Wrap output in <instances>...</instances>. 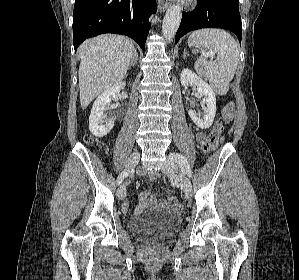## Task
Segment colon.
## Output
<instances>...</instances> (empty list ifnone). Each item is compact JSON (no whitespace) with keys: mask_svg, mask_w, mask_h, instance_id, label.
<instances>
[{"mask_svg":"<svg viewBox=\"0 0 299 280\" xmlns=\"http://www.w3.org/2000/svg\"><path fill=\"white\" fill-rule=\"evenodd\" d=\"M233 104L229 103L225 106L222 113L219 116V119L215 123L212 131L206 136V139L202 143V150L204 153H209L212 151L218 144L219 137L223 131L224 124L227 123L232 115ZM87 143L92 142V138L87 136L85 138ZM176 214H181L183 212V206L181 204H176L173 208Z\"/></svg>","mask_w":299,"mask_h":280,"instance_id":"1","label":"colon"}]
</instances>
